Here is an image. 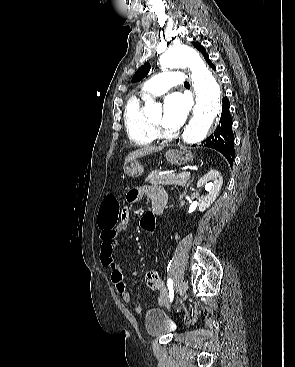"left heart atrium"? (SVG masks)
<instances>
[{
  "mask_svg": "<svg viewBox=\"0 0 295 367\" xmlns=\"http://www.w3.org/2000/svg\"><path fill=\"white\" fill-rule=\"evenodd\" d=\"M190 109L189 99L182 93L175 92L164 100L162 125L168 131L177 130L185 121Z\"/></svg>",
  "mask_w": 295,
  "mask_h": 367,
  "instance_id": "1",
  "label": "left heart atrium"
}]
</instances>
